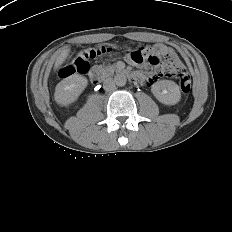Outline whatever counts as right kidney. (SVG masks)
<instances>
[{"mask_svg": "<svg viewBox=\"0 0 232 232\" xmlns=\"http://www.w3.org/2000/svg\"><path fill=\"white\" fill-rule=\"evenodd\" d=\"M86 85L87 79L81 75L74 74L65 78L56 86L55 101L62 106L73 103L78 99Z\"/></svg>", "mask_w": 232, "mask_h": 232, "instance_id": "1", "label": "right kidney"}]
</instances>
